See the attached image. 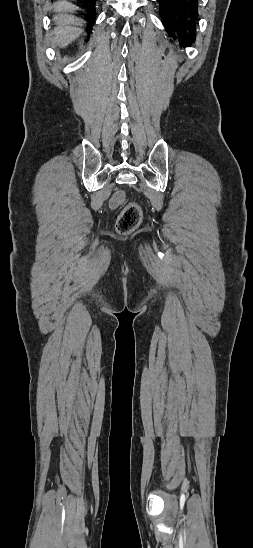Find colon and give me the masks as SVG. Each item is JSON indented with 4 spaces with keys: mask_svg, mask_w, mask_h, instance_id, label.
<instances>
[{
    "mask_svg": "<svg viewBox=\"0 0 253 548\" xmlns=\"http://www.w3.org/2000/svg\"><path fill=\"white\" fill-rule=\"evenodd\" d=\"M142 209L135 203H129L120 213L116 222V231L121 235L134 232L142 221Z\"/></svg>",
    "mask_w": 253,
    "mask_h": 548,
    "instance_id": "colon-1",
    "label": "colon"
}]
</instances>
